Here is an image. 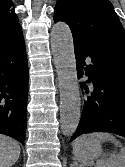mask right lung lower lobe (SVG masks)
I'll use <instances>...</instances> for the list:
<instances>
[{"label":"right lung lower lobe","instance_id":"right-lung-lower-lobe-1","mask_svg":"<svg viewBox=\"0 0 125 167\" xmlns=\"http://www.w3.org/2000/svg\"><path fill=\"white\" fill-rule=\"evenodd\" d=\"M28 64L23 34L0 37V133L24 143Z\"/></svg>","mask_w":125,"mask_h":167}]
</instances>
